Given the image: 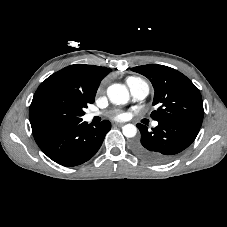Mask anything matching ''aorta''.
Here are the masks:
<instances>
[{"label":"aorta","mask_w":227,"mask_h":227,"mask_svg":"<svg viewBox=\"0 0 227 227\" xmlns=\"http://www.w3.org/2000/svg\"><path fill=\"white\" fill-rule=\"evenodd\" d=\"M107 95L113 104H126L129 101V92L122 84H113L108 87ZM125 137H134L137 133V128L133 124H126L123 129Z\"/></svg>","instance_id":"aorta-1"}]
</instances>
